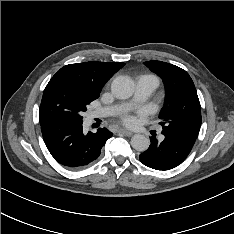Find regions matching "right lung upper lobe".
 I'll list each match as a JSON object with an SVG mask.
<instances>
[{
  "label": "right lung upper lobe",
  "mask_w": 234,
  "mask_h": 234,
  "mask_svg": "<svg viewBox=\"0 0 234 234\" xmlns=\"http://www.w3.org/2000/svg\"><path fill=\"white\" fill-rule=\"evenodd\" d=\"M122 62H85L62 67L51 80L62 81L86 94L98 95L102 86L121 67Z\"/></svg>",
  "instance_id": "cb5924a9"
}]
</instances>
